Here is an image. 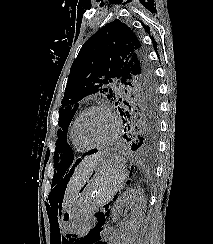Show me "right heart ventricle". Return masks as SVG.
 I'll return each mask as SVG.
<instances>
[{
  "mask_svg": "<svg viewBox=\"0 0 213 244\" xmlns=\"http://www.w3.org/2000/svg\"><path fill=\"white\" fill-rule=\"evenodd\" d=\"M75 120L72 122V124L70 125V128H69V139H70V143H71L72 147L74 148V150H76L77 152H84L86 150V148L83 147L77 141V139L75 138L74 133H73V128H74V122H75Z\"/></svg>",
  "mask_w": 213,
  "mask_h": 244,
  "instance_id": "1",
  "label": "right heart ventricle"
}]
</instances>
